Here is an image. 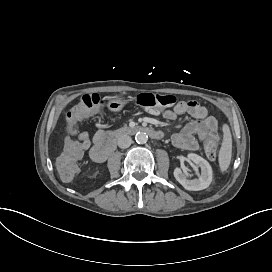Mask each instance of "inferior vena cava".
Wrapping results in <instances>:
<instances>
[{
  "label": "inferior vena cava",
  "mask_w": 272,
  "mask_h": 272,
  "mask_svg": "<svg viewBox=\"0 0 272 272\" xmlns=\"http://www.w3.org/2000/svg\"><path fill=\"white\" fill-rule=\"evenodd\" d=\"M132 143V139L128 135H121L118 138V146L120 148H128Z\"/></svg>",
  "instance_id": "obj_1"
}]
</instances>
